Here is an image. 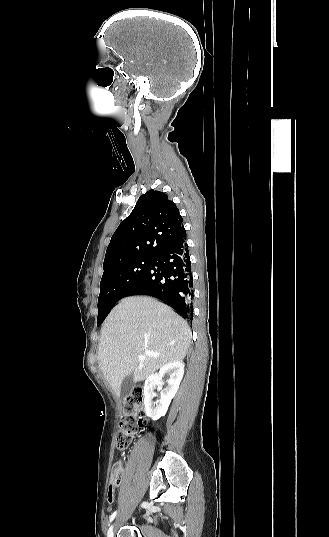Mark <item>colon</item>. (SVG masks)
Wrapping results in <instances>:
<instances>
[{
  "label": "colon",
  "mask_w": 329,
  "mask_h": 537,
  "mask_svg": "<svg viewBox=\"0 0 329 537\" xmlns=\"http://www.w3.org/2000/svg\"><path fill=\"white\" fill-rule=\"evenodd\" d=\"M144 391L141 387H135L125 397V407L120 422V429L116 436V448L118 451H125L131 444L132 439L139 427L145 424L143 416ZM120 470L118 469L113 475L109 495H112L115 487L119 483Z\"/></svg>",
  "instance_id": "5ec220e1"
}]
</instances>
